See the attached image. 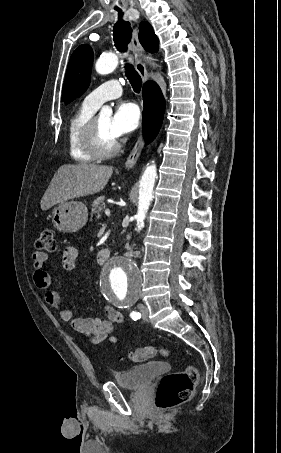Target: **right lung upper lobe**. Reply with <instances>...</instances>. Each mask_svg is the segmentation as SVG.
Returning a JSON list of instances; mask_svg holds the SVG:
<instances>
[{
  "label": "right lung upper lobe",
  "mask_w": 281,
  "mask_h": 453,
  "mask_svg": "<svg viewBox=\"0 0 281 453\" xmlns=\"http://www.w3.org/2000/svg\"><path fill=\"white\" fill-rule=\"evenodd\" d=\"M139 30V41L142 46L149 52H157L159 49V40L154 34L151 25L146 21L142 22Z\"/></svg>",
  "instance_id": "right-lung-upper-lobe-1"
}]
</instances>
